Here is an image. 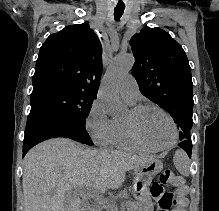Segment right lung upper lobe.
<instances>
[{
    "mask_svg": "<svg viewBox=\"0 0 219 211\" xmlns=\"http://www.w3.org/2000/svg\"><path fill=\"white\" fill-rule=\"evenodd\" d=\"M102 74V45L85 22L50 35L40 48L33 91L62 85L96 95Z\"/></svg>",
    "mask_w": 219,
    "mask_h": 211,
    "instance_id": "1",
    "label": "right lung upper lobe"
}]
</instances>
